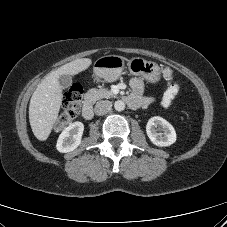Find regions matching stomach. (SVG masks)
I'll return each instance as SVG.
<instances>
[{
	"label": "stomach",
	"mask_w": 227,
	"mask_h": 227,
	"mask_svg": "<svg viewBox=\"0 0 227 227\" xmlns=\"http://www.w3.org/2000/svg\"><path fill=\"white\" fill-rule=\"evenodd\" d=\"M124 68L123 57L106 55L95 61L93 71L97 79L112 82L120 77ZM128 68L132 75L141 76L149 82L154 83L159 80L160 68L155 62L135 57L128 61Z\"/></svg>",
	"instance_id": "0dacf381"
}]
</instances>
